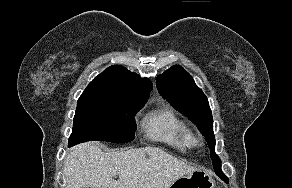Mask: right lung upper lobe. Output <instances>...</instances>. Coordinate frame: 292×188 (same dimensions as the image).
<instances>
[{
	"instance_id": "1",
	"label": "right lung upper lobe",
	"mask_w": 292,
	"mask_h": 188,
	"mask_svg": "<svg viewBox=\"0 0 292 188\" xmlns=\"http://www.w3.org/2000/svg\"><path fill=\"white\" fill-rule=\"evenodd\" d=\"M88 87H101L121 91L147 100L153 85L148 78H141L123 66L113 65L99 74L90 82Z\"/></svg>"
}]
</instances>
